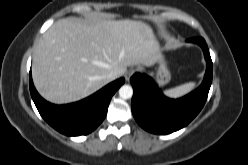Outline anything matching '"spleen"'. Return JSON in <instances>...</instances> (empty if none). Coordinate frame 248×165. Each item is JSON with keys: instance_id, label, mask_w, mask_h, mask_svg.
I'll return each mask as SVG.
<instances>
[{"instance_id": "1", "label": "spleen", "mask_w": 248, "mask_h": 165, "mask_svg": "<svg viewBox=\"0 0 248 165\" xmlns=\"http://www.w3.org/2000/svg\"><path fill=\"white\" fill-rule=\"evenodd\" d=\"M195 87L194 82L185 83L183 85L177 86L175 88L168 89L164 91V94L170 98H179L187 93L191 92Z\"/></svg>"}]
</instances>
